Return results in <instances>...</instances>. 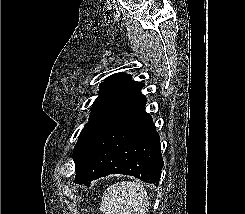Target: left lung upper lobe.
<instances>
[{"label": "left lung upper lobe", "mask_w": 245, "mask_h": 214, "mask_svg": "<svg viewBox=\"0 0 245 214\" xmlns=\"http://www.w3.org/2000/svg\"><path fill=\"white\" fill-rule=\"evenodd\" d=\"M143 86V83L135 82L126 73H115L100 84L99 96L92 105L90 119L74 147V162L109 125L146 99L140 92Z\"/></svg>", "instance_id": "5c2ea615"}]
</instances>
